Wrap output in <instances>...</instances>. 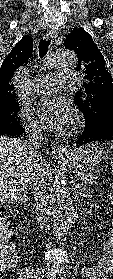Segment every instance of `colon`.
Segmentation results:
<instances>
[{
    "instance_id": "obj_1",
    "label": "colon",
    "mask_w": 113,
    "mask_h": 279,
    "mask_svg": "<svg viewBox=\"0 0 113 279\" xmlns=\"http://www.w3.org/2000/svg\"><path fill=\"white\" fill-rule=\"evenodd\" d=\"M14 255L13 235L8 221L0 217V263L1 260L10 259Z\"/></svg>"
}]
</instances>
